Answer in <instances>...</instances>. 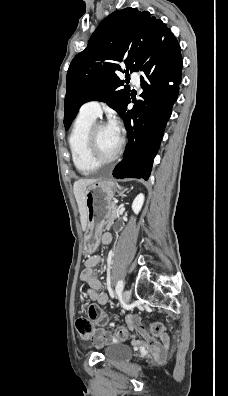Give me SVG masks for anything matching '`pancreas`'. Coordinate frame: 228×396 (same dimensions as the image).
I'll return each mask as SVG.
<instances>
[{
    "label": "pancreas",
    "mask_w": 228,
    "mask_h": 396,
    "mask_svg": "<svg viewBox=\"0 0 228 396\" xmlns=\"http://www.w3.org/2000/svg\"><path fill=\"white\" fill-rule=\"evenodd\" d=\"M112 209H113V215L110 216V219L108 220V222L106 223L105 229L109 230L111 224L114 223V220L116 219V216L114 215L116 212V205L114 203H112Z\"/></svg>",
    "instance_id": "obj_1"
}]
</instances>
